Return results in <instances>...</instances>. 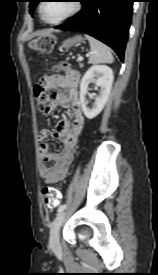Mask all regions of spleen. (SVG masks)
<instances>
[{
	"label": "spleen",
	"instance_id": "3e777b00",
	"mask_svg": "<svg viewBox=\"0 0 158 275\" xmlns=\"http://www.w3.org/2000/svg\"><path fill=\"white\" fill-rule=\"evenodd\" d=\"M86 38L88 39L91 48L89 63H113L114 59L109 47L89 35H86Z\"/></svg>",
	"mask_w": 158,
	"mask_h": 275
}]
</instances>
